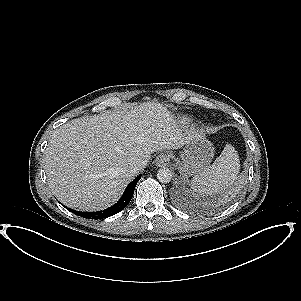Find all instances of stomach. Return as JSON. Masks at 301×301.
Segmentation results:
<instances>
[{
	"label": "stomach",
	"instance_id": "obj_1",
	"mask_svg": "<svg viewBox=\"0 0 301 301\" xmlns=\"http://www.w3.org/2000/svg\"><path fill=\"white\" fill-rule=\"evenodd\" d=\"M214 156V147L202 134H194L189 137L184 151L180 154V170L187 175L201 173Z\"/></svg>",
	"mask_w": 301,
	"mask_h": 301
}]
</instances>
